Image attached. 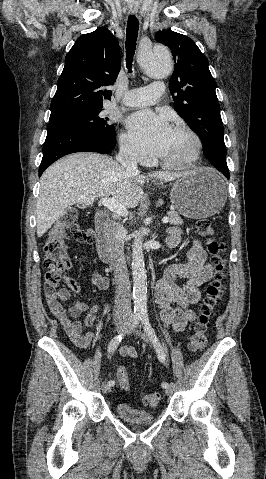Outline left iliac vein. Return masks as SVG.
<instances>
[{
  "mask_svg": "<svg viewBox=\"0 0 266 479\" xmlns=\"http://www.w3.org/2000/svg\"><path fill=\"white\" fill-rule=\"evenodd\" d=\"M135 334H136L137 336H139L141 339H143L145 342L150 343V341H149V339H148V337L146 336L145 333H142L141 331L137 330V331H135ZM173 392H174V386H173V384H170V385L166 388L165 393H166L167 395H171V394H173Z\"/></svg>",
  "mask_w": 266,
  "mask_h": 479,
  "instance_id": "left-iliac-vein-1",
  "label": "left iliac vein"
}]
</instances>
